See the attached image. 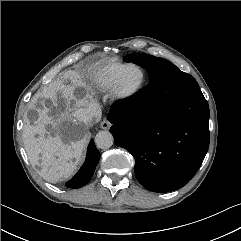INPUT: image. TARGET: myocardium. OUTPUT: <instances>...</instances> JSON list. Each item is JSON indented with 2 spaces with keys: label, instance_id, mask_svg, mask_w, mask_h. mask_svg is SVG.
<instances>
[{
  "label": "myocardium",
  "instance_id": "myocardium-1",
  "mask_svg": "<svg viewBox=\"0 0 241 241\" xmlns=\"http://www.w3.org/2000/svg\"><path fill=\"white\" fill-rule=\"evenodd\" d=\"M130 68L139 69L141 72V79L134 86L125 87L122 84V77ZM146 79L147 73L143 67L134 63L127 64L115 77L113 86L111 88L113 99L120 105H126L130 103L135 97H137L140 94L145 85Z\"/></svg>",
  "mask_w": 241,
  "mask_h": 241
}]
</instances>
